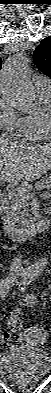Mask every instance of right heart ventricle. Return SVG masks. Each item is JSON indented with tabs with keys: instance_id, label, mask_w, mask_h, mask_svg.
<instances>
[{
	"instance_id": "right-heart-ventricle-1",
	"label": "right heart ventricle",
	"mask_w": 51,
	"mask_h": 393,
	"mask_svg": "<svg viewBox=\"0 0 51 393\" xmlns=\"http://www.w3.org/2000/svg\"><path fill=\"white\" fill-rule=\"evenodd\" d=\"M37 97L41 108L51 99V90L43 91L37 89ZM41 108L35 113L22 117V138L24 140L43 142L48 139L49 133L44 129L41 121Z\"/></svg>"
}]
</instances>
